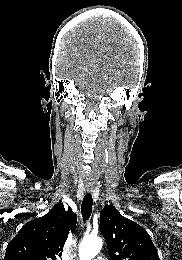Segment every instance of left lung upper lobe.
I'll return each instance as SVG.
<instances>
[{
  "label": "left lung upper lobe",
  "instance_id": "left-lung-upper-lobe-1",
  "mask_svg": "<svg viewBox=\"0 0 182 260\" xmlns=\"http://www.w3.org/2000/svg\"><path fill=\"white\" fill-rule=\"evenodd\" d=\"M100 231L111 260H159L147 231L122 216L113 205L100 212Z\"/></svg>",
  "mask_w": 182,
  "mask_h": 260
}]
</instances>
